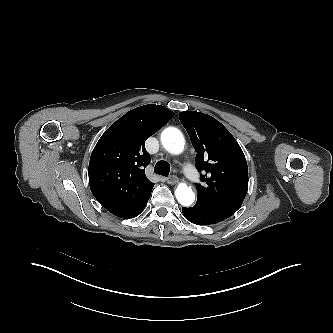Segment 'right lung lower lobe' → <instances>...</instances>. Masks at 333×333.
<instances>
[{"mask_svg": "<svg viewBox=\"0 0 333 333\" xmlns=\"http://www.w3.org/2000/svg\"><path fill=\"white\" fill-rule=\"evenodd\" d=\"M149 197H147L138 207H136L134 210H132L131 213L126 218L136 217L137 215H139L145 208Z\"/></svg>", "mask_w": 333, "mask_h": 333, "instance_id": "obj_1", "label": "right lung lower lobe"}]
</instances>
